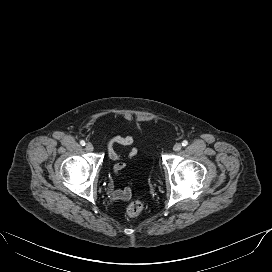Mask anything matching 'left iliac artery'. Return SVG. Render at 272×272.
<instances>
[{"label": "left iliac artery", "mask_w": 272, "mask_h": 272, "mask_svg": "<svg viewBox=\"0 0 272 272\" xmlns=\"http://www.w3.org/2000/svg\"><path fill=\"white\" fill-rule=\"evenodd\" d=\"M187 145H188V141L187 140L182 141V146H187Z\"/></svg>", "instance_id": "obj_1"}]
</instances>
